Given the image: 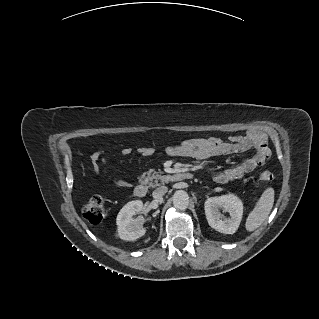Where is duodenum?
Masks as SVG:
<instances>
[{"label":"duodenum","mask_w":319,"mask_h":319,"mask_svg":"<svg viewBox=\"0 0 319 319\" xmlns=\"http://www.w3.org/2000/svg\"><path fill=\"white\" fill-rule=\"evenodd\" d=\"M193 177V174L188 171H180V172H175L171 175V180L172 181H183L187 180ZM134 195L138 198H144L146 197L148 193L147 186L143 183H139L134 187Z\"/></svg>","instance_id":"410a0bca"}]
</instances>
